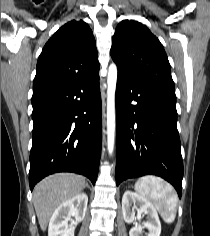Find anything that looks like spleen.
Instances as JSON below:
<instances>
[{"mask_svg": "<svg viewBox=\"0 0 210 236\" xmlns=\"http://www.w3.org/2000/svg\"><path fill=\"white\" fill-rule=\"evenodd\" d=\"M135 191L151 201L166 223H172L176 217L178 197L173 187L160 177L147 175L137 180Z\"/></svg>", "mask_w": 210, "mask_h": 236, "instance_id": "spleen-1", "label": "spleen"}]
</instances>
